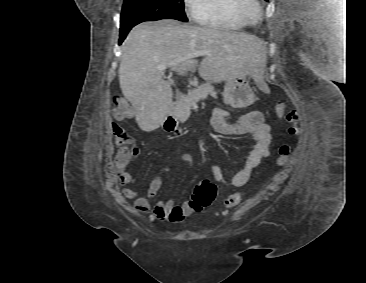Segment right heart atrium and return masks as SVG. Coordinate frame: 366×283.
Masks as SVG:
<instances>
[{"label":"right heart atrium","instance_id":"obj_1","mask_svg":"<svg viewBox=\"0 0 366 283\" xmlns=\"http://www.w3.org/2000/svg\"><path fill=\"white\" fill-rule=\"evenodd\" d=\"M205 0H183L187 14L194 20H200L203 14Z\"/></svg>","mask_w":366,"mask_h":283}]
</instances>
